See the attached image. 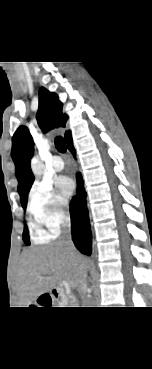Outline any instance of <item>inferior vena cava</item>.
I'll return each instance as SVG.
<instances>
[{
    "label": "inferior vena cava",
    "mask_w": 152,
    "mask_h": 369,
    "mask_svg": "<svg viewBox=\"0 0 152 369\" xmlns=\"http://www.w3.org/2000/svg\"><path fill=\"white\" fill-rule=\"evenodd\" d=\"M60 242L63 243L69 250L75 249L72 239H71V222H70L69 216H65L62 221V236H61ZM86 277H87V272L86 270H84L82 274V279H81V285L83 286H86Z\"/></svg>",
    "instance_id": "1"
}]
</instances>
